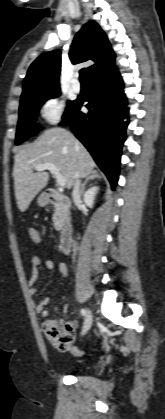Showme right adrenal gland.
<instances>
[{"label":"right adrenal gland","instance_id":"2a0ac1e0","mask_svg":"<svg viewBox=\"0 0 165 419\" xmlns=\"http://www.w3.org/2000/svg\"><path fill=\"white\" fill-rule=\"evenodd\" d=\"M95 178H99V175H98V173H97V171H96V170H93V171H91V172H90V174L87 176L86 180H85V181H84V183L82 184V187H81V194H84V191H85V185H86V183L88 182V180L95 179Z\"/></svg>","mask_w":165,"mask_h":419}]
</instances>
